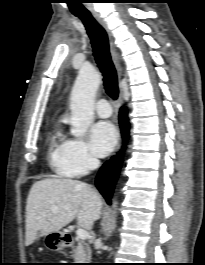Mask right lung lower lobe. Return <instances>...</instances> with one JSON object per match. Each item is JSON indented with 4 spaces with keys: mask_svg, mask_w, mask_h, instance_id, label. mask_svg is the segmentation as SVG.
Masks as SVG:
<instances>
[{
    "mask_svg": "<svg viewBox=\"0 0 205 265\" xmlns=\"http://www.w3.org/2000/svg\"><path fill=\"white\" fill-rule=\"evenodd\" d=\"M119 122L123 138L124 140H127L129 125L127 119V112L124 107H122L120 110ZM120 167L121 158L114 156L111 158V160L104 163L96 177V186L108 204L111 203L110 199L118 177Z\"/></svg>",
    "mask_w": 205,
    "mask_h": 265,
    "instance_id": "obj_1",
    "label": "right lung lower lobe"
}]
</instances>
